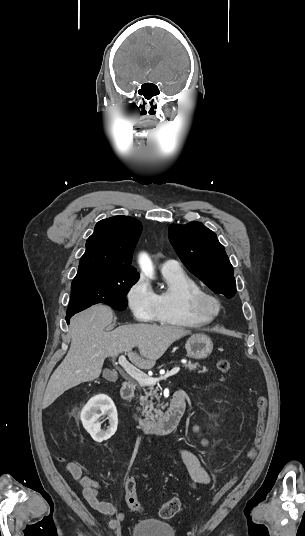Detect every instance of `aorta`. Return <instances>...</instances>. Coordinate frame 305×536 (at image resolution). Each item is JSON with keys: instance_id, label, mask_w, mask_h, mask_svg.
Wrapping results in <instances>:
<instances>
[{"instance_id": "aorta-1", "label": "aorta", "mask_w": 305, "mask_h": 536, "mask_svg": "<svg viewBox=\"0 0 305 536\" xmlns=\"http://www.w3.org/2000/svg\"><path fill=\"white\" fill-rule=\"evenodd\" d=\"M139 264L145 275L149 277L153 276V265L147 254L140 255Z\"/></svg>"}]
</instances>
